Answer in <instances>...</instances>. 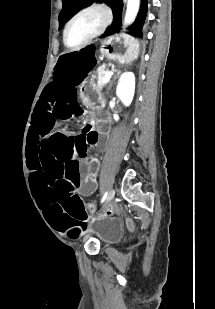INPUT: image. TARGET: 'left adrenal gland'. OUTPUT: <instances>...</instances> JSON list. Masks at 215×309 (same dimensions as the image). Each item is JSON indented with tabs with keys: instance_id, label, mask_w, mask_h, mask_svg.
I'll use <instances>...</instances> for the list:
<instances>
[{
	"instance_id": "left-adrenal-gland-1",
	"label": "left adrenal gland",
	"mask_w": 215,
	"mask_h": 309,
	"mask_svg": "<svg viewBox=\"0 0 215 309\" xmlns=\"http://www.w3.org/2000/svg\"><path fill=\"white\" fill-rule=\"evenodd\" d=\"M117 74H120V70H118ZM117 74H116V76H117ZM114 78H115V76H114Z\"/></svg>"
}]
</instances>
